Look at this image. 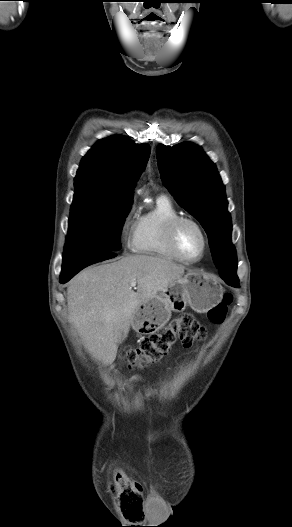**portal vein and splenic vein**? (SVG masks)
<instances>
[{
    "label": "portal vein and splenic vein",
    "mask_w": 292,
    "mask_h": 527,
    "mask_svg": "<svg viewBox=\"0 0 292 527\" xmlns=\"http://www.w3.org/2000/svg\"><path fill=\"white\" fill-rule=\"evenodd\" d=\"M131 286H132V287H135V286H136V281H132V282H131Z\"/></svg>",
    "instance_id": "obj_1"
}]
</instances>
